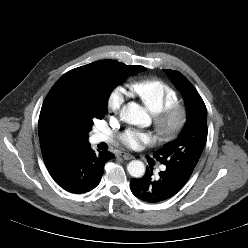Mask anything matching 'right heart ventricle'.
Returning <instances> with one entry per match:
<instances>
[{
	"label": "right heart ventricle",
	"mask_w": 248,
	"mask_h": 248,
	"mask_svg": "<svg viewBox=\"0 0 248 248\" xmlns=\"http://www.w3.org/2000/svg\"><path fill=\"white\" fill-rule=\"evenodd\" d=\"M129 88L153 114L159 113L179 100L178 92L174 87L156 78L135 81L129 85Z\"/></svg>",
	"instance_id": "e07e8e85"
}]
</instances>
